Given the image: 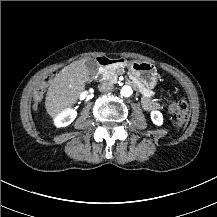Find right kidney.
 Here are the masks:
<instances>
[{"instance_id":"1","label":"right kidney","mask_w":217,"mask_h":217,"mask_svg":"<svg viewBox=\"0 0 217 217\" xmlns=\"http://www.w3.org/2000/svg\"><path fill=\"white\" fill-rule=\"evenodd\" d=\"M76 117L75 111H68L64 113L58 120L57 124L59 126H66L69 125Z\"/></svg>"}]
</instances>
